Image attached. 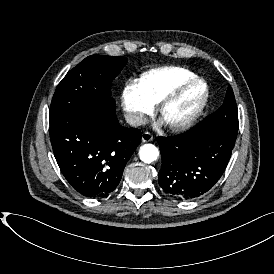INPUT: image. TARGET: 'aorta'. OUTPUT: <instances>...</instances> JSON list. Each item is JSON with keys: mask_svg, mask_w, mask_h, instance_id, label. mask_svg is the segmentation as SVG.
<instances>
[{"mask_svg": "<svg viewBox=\"0 0 274 274\" xmlns=\"http://www.w3.org/2000/svg\"><path fill=\"white\" fill-rule=\"evenodd\" d=\"M139 156L144 163H151L157 160L159 156V150L153 144H145L140 148Z\"/></svg>", "mask_w": 274, "mask_h": 274, "instance_id": "aorta-1", "label": "aorta"}]
</instances>
